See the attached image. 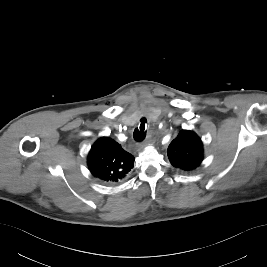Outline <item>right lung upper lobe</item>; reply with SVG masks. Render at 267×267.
Instances as JSON below:
<instances>
[{
	"label": "right lung upper lobe",
	"mask_w": 267,
	"mask_h": 267,
	"mask_svg": "<svg viewBox=\"0 0 267 267\" xmlns=\"http://www.w3.org/2000/svg\"><path fill=\"white\" fill-rule=\"evenodd\" d=\"M134 156L109 137L100 138L88 155V167L94 177L108 184L123 180L134 167Z\"/></svg>",
	"instance_id": "cb5924a9"
}]
</instances>
